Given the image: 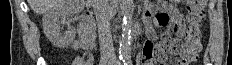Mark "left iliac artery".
Returning a JSON list of instances; mask_svg holds the SVG:
<instances>
[{
	"label": "left iliac artery",
	"mask_w": 232,
	"mask_h": 65,
	"mask_svg": "<svg viewBox=\"0 0 232 65\" xmlns=\"http://www.w3.org/2000/svg\"><path fill=\"white\" fill-rule=\"evenodd\" d=\"M124 65H132L131 57L126 56L124 59Z\"/></svg>",
	"instance_id": "1"
}]
</instances>
